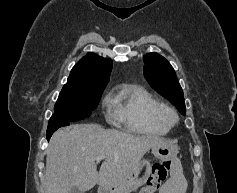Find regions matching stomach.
Here are the masks:
<instances>
[{
    "label": "stomach",
    "instance_id": "obj_1",
    "mask_svg": "<svg viewBox=\"0 0 237 193\" xmlns=\"http://www.w3.org/2000/svg\"><path fill=\"white\" fill-rule=\"evenodd\" d=\"M153 155L161 160L174 158L178 153L175 144L164 141L161 144L152 147ZM152 166L148 160H142L138 166L126 177L113 184L100 186L98 193H130L133 190L143 186L150 177Z\"/></svg>",
    "mask_w": 237,
    "mask_h": 193
}]
</instances>
